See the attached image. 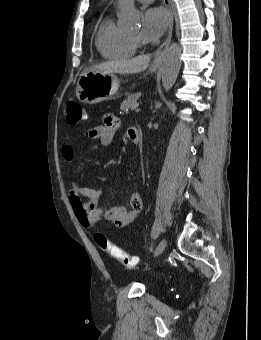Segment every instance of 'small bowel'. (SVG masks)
I'll use <instances>...</instances> for the list:
<instances>
[{
	"label": "small bowel",
	"instance_id": "1",
	"mask_svg": "<svg viewBox=\"0 0 261 340\" xmlns=\"http://www.w3.org/2000/svg\"><path fill=\"white\" fill-rule=\"evenodd\" d=\"M120 127L119 119L111 114L102 118V123L85 131V136L91 139H99L101 144L109 146L114 138L116 130ZM136 127L128 129V136ZM62 157L66 161H72L75 150L72 144H65L61 149ZM103 189L91 188L79 185L74 180L69 191V202L72 210L80 223L86 229L96 228L102 225L113 227H124L132 222L142 209V199L135 192L130 196V210L124 205L108 208L105 203L100 202Z\"/></svg>",
	"mask_w": 261,
	"mask_h": 340
}]
</instances>
